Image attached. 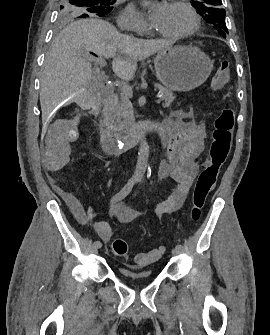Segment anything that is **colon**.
Returning a JSON list of instances; mask_svg holds the SVG:
<instances>
[{
  "mask_svg": "<svg viewBox=\"0 0 270 335\" xmlns=\"http://www.w3.org/2000/svg\"><path fill=\"white\" fill-rule=\"evenodd\" d=\"M231 62L224 60L216 70L211 82L214 92L221 91L230 78ZM235 111L231 107H224L214 119L213 141L210 146L208 163L198 175L192 193L190 219L197 222L202 217L204 205L211 190L216 185L221 166L226 162L232 145V129L234 127ZM112 249L116 256L125 258L128 245L124 239L116 238L112 241ZM164 253V248L159 246L147 252L137 254L133 264L141 267L159 260Z\"/></svg>",
  "mask_w": 270,
  "mask_h": 335,
  "instance_id": "colon-1",
  "label": "colon"
}]
</instances>
